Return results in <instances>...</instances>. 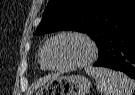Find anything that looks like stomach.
Wrapping results in <instances>:
<instances>
[{"label":"stomach","instance_id":"obj_1","mask_svg":"<svg viewBox=\"0 0 135 95\" xmlns=\"http://www.w3.org/2000/svg\"><path fill=\"white\" fill-rule=\"evenodd\" d=\"M91 82L81 75L58 76L51 79L35 95H87Z\"/></svg>","mask_w":135,"mask_h":95}]
</instances>
